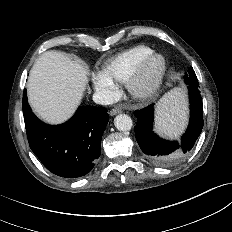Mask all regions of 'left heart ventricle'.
Masks as SVG:
<instances>
[{"label": "left heart ventricle", "instance_id": "left-heart-ventricle-1", "mask_svg": "<svg viewBox=\"0 0 232 232\" xmlns=\"http://www.w3.org/2000/svg\"><path fill=\"white\" fill-rule=\"evenodd\" d=\"M156 69H157V62H154L148 70V76L153 75Z\"/></svg>", "mask_w": 232, "mask_h": 232}]
</instances>
